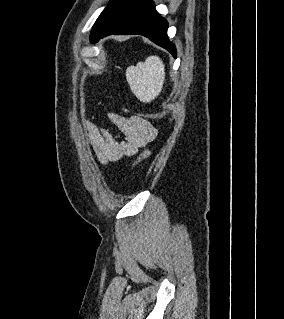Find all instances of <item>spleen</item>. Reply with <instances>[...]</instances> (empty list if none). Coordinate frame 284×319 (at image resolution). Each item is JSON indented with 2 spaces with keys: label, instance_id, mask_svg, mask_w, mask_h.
Listing matches in <instances>:
<instances>
[{
  "label": "spleen",
  "instance_id": "obj_1",
  "mask_svg": "<svg viewBox=\"0 0 284 319\" xmlns=\"http://www.w3.org/2000/svg\"><path fill=\"white\" fill-rule=\"evenodd\" d=\"M127 82L134 95L142 102H150L162 91L165 68L158 56H149L145 62L131 65L126 70Z\"/></svg>",
  "mask_w": 284,
  "mask_h": 319
}]
</instances>
